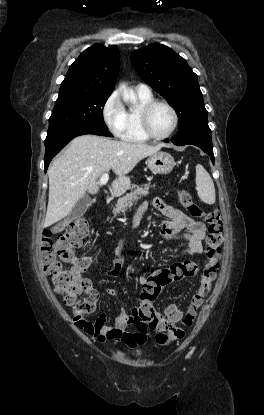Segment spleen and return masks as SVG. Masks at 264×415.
I'll return each instance as SVG.
<instances>
[{"mask_svg":"<svg viewBox=\"0 0 264 415\" xmlns=\"http://www.w3.org/2000/svg\"><path fill=\"white\" fill-rule=\"evenodd\" d=\"M196 189L199 198L206 204H214L216 200L213 180L205 168L198 164L196 166Z\"/></svg>","mask_w":264,"mask_h":415,"instance_id":"1","label":"spleen"}]
</instances>
